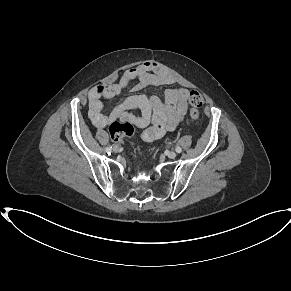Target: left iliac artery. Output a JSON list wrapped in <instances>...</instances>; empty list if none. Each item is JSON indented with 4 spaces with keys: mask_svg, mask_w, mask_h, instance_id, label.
I'll return each instance as SVG.
<instances>
[{
    "mask_svg": "<svg viewBox=\"0 0 291 291\" xmlns=\"http://www.w3.org/2000/svg\"><path fill=\"white\" fill-rule=\"evenodd\" d=\"M175 151H176L177 153H181L182 149H181L180 147H176V148H175Z\"/></svg>",
    "mask_w": 291,
    "mask_h": 291,
    "instance_id": "1",
    "label": "left iliac artery"
}]
</instances>
